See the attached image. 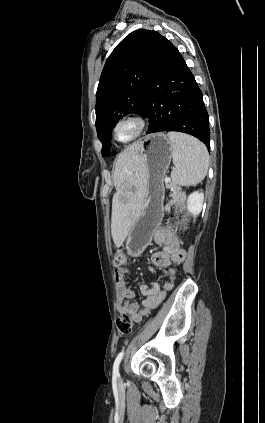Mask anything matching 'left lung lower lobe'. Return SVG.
Returning a JSON list of instances; mask_svg holds the SVG:
<instances>
[{
  "label": "left lung lower lobe",
  "instance_id": "obj_1",
  "mask_svg": "<svg viewBox=\"0 0 265 423\" xmlns=\"http://www.w3.org/2000/svg\"><path fill=\"white\" fill-rule=\"evenodd\" d=\"M140 115L150 120L148 134L184 132L209 148L210 129L203 95L178 49L166 38L147 83Z\"/></svg>",
  "mask_w": 265,
  "mask_h": 423
}]
</instances>
